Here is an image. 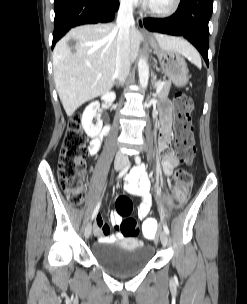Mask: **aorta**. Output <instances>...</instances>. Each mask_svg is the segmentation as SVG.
<instances>
[{
    "mask_svg": "<svg viewBox=\"0 0 247 304\" xmlns=\"http://www.w3.org/2000/svg\"><path fill=\"white\" fill-rule=\"evenodd\" d=\"M139 82L143 89L147 88L149 80V66L144 57H140L138 61Z\"/></svg>",
    "mask_w": 247,
    "mask_h": 304,
    "instance_id": "aorta-1",
    "label": "aorta"
}]
</instances>
